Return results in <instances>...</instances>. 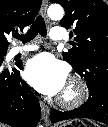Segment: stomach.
<instances>
[{
  "label": "stomach",
  "instance_id": "0dacf381",
  "mask_svg": "<svg viewBox=\"0 0 108 127\" xmlns=\"http://www.w3.org/2000/svg\"><path fill=\"white\" fill-rule=\"evenodd\" d=\"M54 127H88V126L82 120L74 119Z\"/></svg>",
  "mask_w": 108,
  "mask_h": 127
}]
</instances>
